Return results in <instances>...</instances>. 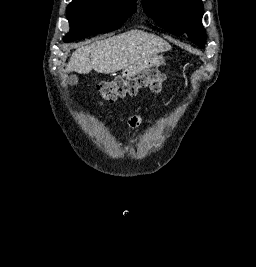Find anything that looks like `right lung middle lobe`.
<instances>
[{
	"mask_svg": "<svg viewBox=\"0 0 256 267\" xmlns=\"http://www.w3.org/2000/svg\"><path fill=\"white\" fill-rule=\"evenodd\" d=\"M136 11V5L126 0H73L67 7L71 32L65 42L112 31Z\"/></svg>",
	"mask_w": 256,
	"mask_h": 267,
	"instance_id": "1",
	"label": "right lung middle lobe"
}]
</instances>
